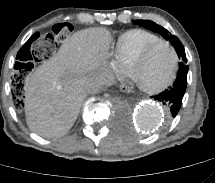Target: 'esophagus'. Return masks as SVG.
<instances>
[{
    "label": "esophagus",
    "mask_w": 215,
    "mask_h": 183,
    "mask_svg": "<svg viewBox=\"0 0 215 183\" xmlns=\"http://www.w3.org/2000/svg\"><path fill=\"white\" fill-rule=\"evenodd\" d=\"M120 90L124 93H129L131 91V87L127 83H123L120 86Z\"/></svg>",
    "instance_id": "obj_1"
}]
</instances>
